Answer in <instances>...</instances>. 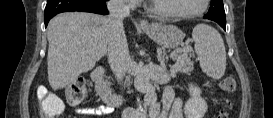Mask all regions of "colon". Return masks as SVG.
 Masks as SVG:
<instances>
[{
	"mask_svg": "<svg viewBox=\"0 0 273 118\" xmlns=\"http://www.w3.org/2000/svg\"><path fill=\"white\" fill-rule=\"evenodd\" d=\"M219 86L221 90L227 93H233L236 90V81L233 77H224L220 80ZM87 96V91L84 82L81 80L74 81L67 90V101L72 104H80ZM38 111L41 118H54L60 115L63 111V103L56 95L48 92L45 89L38 90ZM222 109L217 118L227 117V107Z\"/></svg>",
	"mask_w": 273,
	"mask_h": 118,
	"instance_id": "5ec220e1",
	"label": "colon"
}]
</instances>
